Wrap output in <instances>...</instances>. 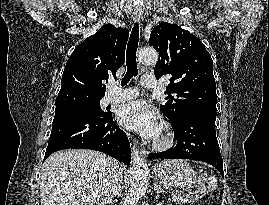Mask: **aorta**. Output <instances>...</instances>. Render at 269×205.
<instances>
[{
    "mask_svg": "<svg viewBox=\"0 0 269 205\" xmlns=\"http://www.w3.org/2000/svg\"><path fill=\"white\" fill-rule=\"evenodd\" d=\"M158 53L155 49L146 48L139 52V60L143 64H156ZM132 181L130 191L125 198L123 205H136L143 197L148 186V169L144 158L140 156L139 150L132 148Z\"/></svg>",
    "mask_w": 269,
    "mask_h": 205,
    "instance_id": "aorta-1",
    "label": "aorta"
}]
</instances>
